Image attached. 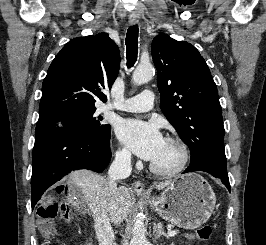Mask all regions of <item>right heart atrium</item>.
Masks as SVG:
<instances>
[{
  "label": "right heart atrium",
  "mask_w": 266,
  "mask_h": 245,
  "mask_svg": "<svg viewBox=\"0 0 266 245\" xmlns=\"http://www.w3.org/2000/svg\"><path fill=\"white\" fill-rule=\"evenodd\" d=\"M116 157L121 162H128L131 159V153L127 148L120 147L116 152Z\"/></svg>",
  "instance_id": "right-heart-atrium-1"
}]
</instances>
